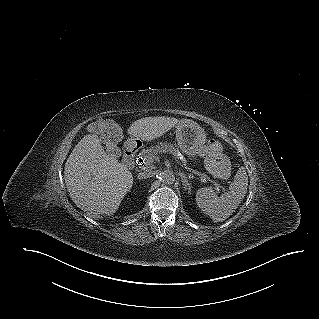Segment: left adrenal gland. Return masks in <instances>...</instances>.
I'll return each mask as SVG.
<instances>
[{"label":"left adrenal gland","mask_w":319,"mask_h":319,"mask_svg":"<svg viewBox=\"0 0 319 319\" xmlns=\"http://www.w3.org/2000/svg\"><path fill=\"white\" fill-rule=\"evenodd\" d=\"M179 175L181 176L185 190H188V193L190 194V183L188 182L186 175L183 172H179Z\"/></svg>","instance_id":"1"}]
</instances>
